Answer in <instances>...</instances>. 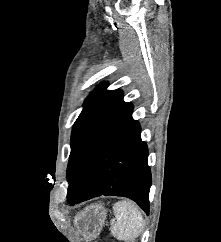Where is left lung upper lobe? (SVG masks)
Wrapping results in <instances>:
<instances>
[{"label": "left lung upper lobe", "instance_id": "1", "mask_svg": "<svg viewBox=\"0 0 221 242\" xmlns=\"http://www.w3.org/2000/svg\"><path fill=\"white\" fill-rule=\"evenodd\" d=\"M132 110V104L123 101L121 90L106 91V86L100 85L88 96L72 130L69 183L95 144Z\"/></svg>", "mask_w": 221, "mask_h": 242}]
</instances>
